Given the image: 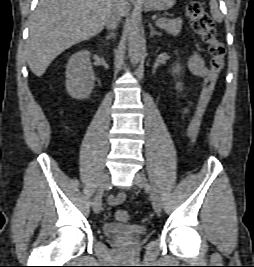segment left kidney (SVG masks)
I'll use <instances>...</instances> for the list:
<instances>
[{
	"label": "left kidney",
	"mask_w": 254,
	"mask_h": 267,
	"mask_svg": "<svg viewBox=\"0 0 254 267\" xmlns=\"http://www.w3.org/2000/svg\"><path fill=\"white\" fill-rule=\"evenodd\" d=\"M182 70V67L179 63H175L172 67V75H180V72Z\"/></svg>",
	"instance_id": "obj_1"
}]
</instances>
